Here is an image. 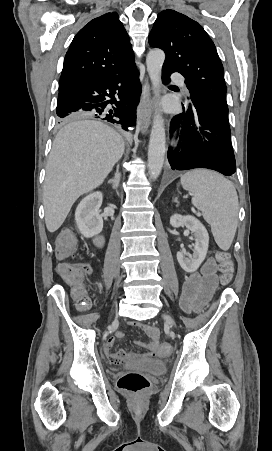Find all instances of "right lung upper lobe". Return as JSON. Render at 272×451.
<instances>
[{
  "label": "right lung upper lobe",
  "instance_id": "1",
  "mask_svg": "<svg viewBox=\"0 0 272 451\" xmlns=\"http://www.w3.org/2000/svg\"><path fill=\"white\" fill-rule=\"evenodd\" d=\"M134 62L129 36L116 12L91 20L74 37L59 90L109 77Z\"/></svg>",
  "mask_w": 272,
  "mask_h": 451
}]
</instances>
